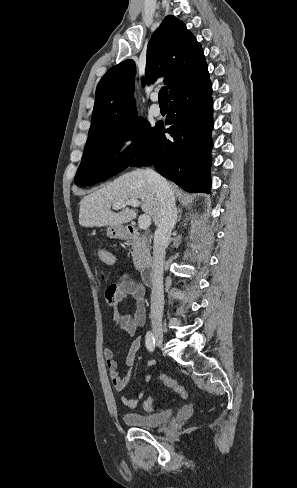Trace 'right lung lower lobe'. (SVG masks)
Returning <instances> with one entry per match:
<instances>
[{"mask_svg": "<svg viewBox=\"0 0 297 488\" xmlns=\"http://www.w3.org/2000/svg\"><path fill=\"white\" fill-rule=\"evenodd\" d=\"M212 86L209 74L170 99L165 123L130 166L153 165L157 172L188 192L210 193ZM169 133L173 139L165 137Z\"/></svg>", "mask_w": 297, "mask_h": 488, "instance_id": "98d812e1", "label": "right lung lower lobe"}]
</instances>
